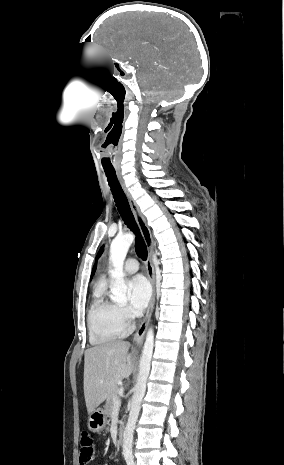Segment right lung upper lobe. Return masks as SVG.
I'll use <instances>...</instances> for the list:
<instances>
[{
	"mask_svg": "<svg viewBox=\"0 0 284 465\" xmlns=\"http://www.w3.org/2000/svg\"><path fill=\"white\" fill-rule=\"evenodd\" d=\"M95 269H96V266H94V268H93V272L95 271ZM92 275H93V273H92Z\"/></svg>",
	"mask_w": 284,
	"mask_h": 465,
	"instance_id": "obj_1",
	"label": "right lung upper lobe"
}]
</instances>
